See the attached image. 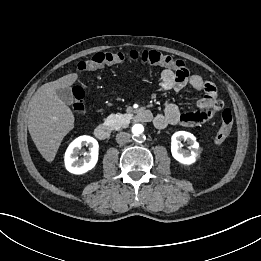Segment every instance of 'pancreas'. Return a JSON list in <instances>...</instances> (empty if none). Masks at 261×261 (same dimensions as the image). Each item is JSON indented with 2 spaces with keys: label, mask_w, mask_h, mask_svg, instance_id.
<instances>
[{
  "label": "pancreas",
  "mask_w": 261,
  "mask_h": 261,
  "mask_svg": "<svg viewBox=\"0 0 261 261\" xmlns=\"http://www.w3.org/2000/svg\"><path fill=\"white\" fill-rule=\"evenodd\" d=\"M106 123L114 130H119L126 127L130 122V116L128 114H110L106 118Z\"/></svg>",
  "instance_id": "obj_1"
}]
</instances>
